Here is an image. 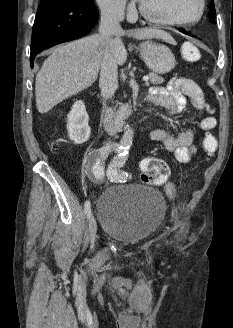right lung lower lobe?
I'll return each instance as SVG.
<instances>
[{
	"label": "right lung lower lobe",
	"mask_w": 233,
	"mask_h": 328,
	"mask_svg": "<svg viewBox=\"0 0 233 328\" xmlns=\"http://www.w3.org/2000/svg\"><path fill=\"white\" fill-rule=\"evenodd\" d=\"M98 20L93 3L41 0L31 40L30 62L42 50L86 35Z\"/></svg>",
	"instance_id": "right-lung-lower-lobe-1"
}]
</instances>
